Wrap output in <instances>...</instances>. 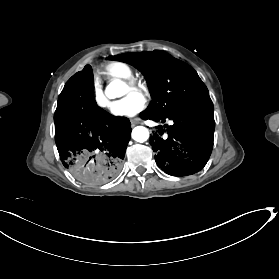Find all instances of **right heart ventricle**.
Returning a JSON list of instances; mask_svg holds the SVG:
<instances>
[{"label": "right heart ventricle", "mask_w": 279, "mask_h": 279, "mask_svg": "<svg viewBox=\"0 0 279 279\" xmlns=\"http://www.w3.org/2000/svg\"><path fill=\"white\" fill-rule=\"evenodd\" d=\"M101 73L110 81H122L134 76L132 68L126 63L114 61L103 65Z\"/></svg>", "instance_id": "1"}]
</instances>
